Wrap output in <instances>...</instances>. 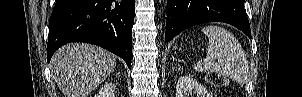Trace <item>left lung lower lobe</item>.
<instances>
[{"label": "left lung lower lobe", "mask_w": 302, "mask_h": 97, "mask_svg": "<svg viewBox=\"0 0 302 97\" xmlns=\"http://www.w3.org/2000/svg\"><path fill=\"white\" fill-rule=\"evenodd\" d=\"M220 21L229 23L251 38L244 0H167L165 40L194 25Z\"/></svg>", "instance_id": "obj_1"}]
</instances>
